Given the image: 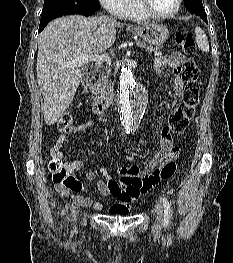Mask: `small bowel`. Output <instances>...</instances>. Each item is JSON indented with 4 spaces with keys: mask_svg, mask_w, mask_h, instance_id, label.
Here are the masks:
<instances>
[{
    "mask_svg": "<svg viewBox=\"0 0 233 263\" xmlns=\"http://www.w3.org/2000/svg\"><path fill=\"white\" fill-rule=\"evenodd\" d=\"M184 60L183 54L174 52L167 57L157 58L154 63V69L160 77L163 76L162 69L164 67H169L172 70L173 91L178 97L182 96L184 92V82L180 76ZM92 126L93 122L87 121L72 126L68 133L61 134L51 150L53 159L63 162L64 145L67 141L68 134H80ZM178 153V148L173 146L172 141L167 136V130L164 128L161 132V150L152 158L144 171H141L139 166L135 164L123 167L120 170L121 178L119 180L110 178L107 170L103 167L95 168L85 173L83 177L89 181L94 180L98 173L106 178L105 180L96 181L95 185L103 196L114 198L118 201V203L109 208H106L100 202H94L89 196L72 194L81 189H64V185L61 183H56V189L63 196H71L80 206L93 207L98 211H107L113 216H124L129 212L130 203L137 200L142 194H145L155 185L146 184L145 178L152 175L157 166L162 165L171 158H175ZM82 165V160L70 161L65 164L70 176L74 171L80 169Z\"/></svg>",
    "mask_w": 233,
    "mask_h": 263,
    "instance_id": "c3829d8e",
    "label": "small bowel"
}]
</instances>
